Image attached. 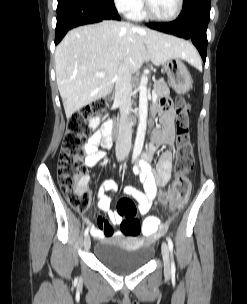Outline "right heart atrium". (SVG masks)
<instances>
[{
  "label": "right heart atrium",
  "instance_id": "d8ad5b80",
  "mask_svg": "<svg viewBox=\"0 0 247 304\" xmlns=\"http://www.w3.org/2000/svg\"><path fill=\"white\" fill-rule=\"evenodd\" d=\"M113 2L122 12H131L141 6V0H113Z\"/></svg>",
  "mask_w": 247,
  "mask_h": 304
}]
</instances>
